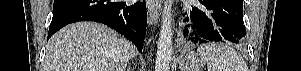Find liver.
<instances>
[{"label":"liver","instance_id":"obj_1","mask_svg":"<svg viewBox=\"0 0 301 71\" xmlns=\"http://www.w3.org/2000/svg\"><path fill=\"white\" fill-rule=\"evenodd\" d=\"M135 55L126 38L102 24H70L48 41L44 71H124Z\"/></svg>","mask_w":301,"mask_h":71}]
</instances>
